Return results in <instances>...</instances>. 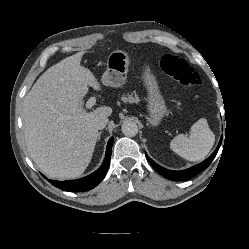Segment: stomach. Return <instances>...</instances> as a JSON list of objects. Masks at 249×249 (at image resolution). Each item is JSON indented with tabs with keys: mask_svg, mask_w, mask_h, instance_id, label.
<instances>
[{
	"mask_svg": "<svg viewBox=\"0 0 249 249\" xmlns=\"http://www.w3.org/2000/svg\"><path fill=\"white\" fill-rule=\"evenodd\" d=\"M130 57L128 53L122 50L113 51L107 59V69L102 75V83L106 86L119 87L125 83L127 78ZM145 87L148 92V111L149 121L157 126L164 115L167 113L165 101L161 96L157 81L146 67L142 76Z\"/></svg>",
	"mask_w": 249,
	"mask_h": 249,
	"instance_id": "0dacf381",
	"label": "stomach"
}]
</instances>
